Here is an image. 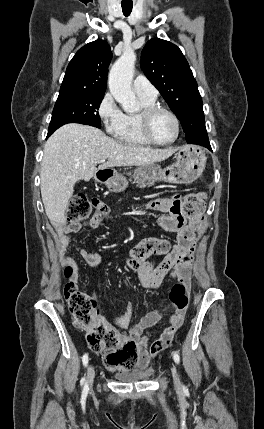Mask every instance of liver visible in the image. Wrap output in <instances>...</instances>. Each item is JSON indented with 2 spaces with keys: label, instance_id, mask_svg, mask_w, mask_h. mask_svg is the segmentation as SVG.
Here are the masks:
<instances>
[{
  "label": "liver",
  "instance_id": "6515ba94",
  "mask_svg": "<svg viewBox=\"0 0 264 429\" xmlns=\"http://www.w3.org/2000/svg\"><path fill=\"white\" fill-rule=\"evenodd\" d=\"M177 148L153 149L121 143L101 130L66 124L47 140L41 163V196L52 224H65V210L78 180L89 181L98 170L115 166H142L169 158ZM99 160H107L98 168Z\"/></svg>",
  "mask_w": 264,
  "mask_h": 429
}]
</instances>
